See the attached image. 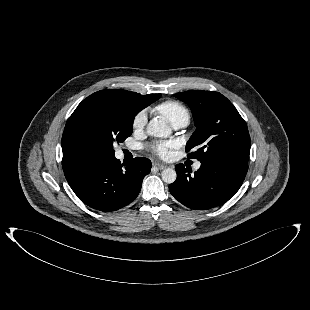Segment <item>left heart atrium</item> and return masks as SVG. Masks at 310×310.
Listing matches in <instances>:
<instances>
[{
    "mask_svg": "<svg viewBox=\"0 0 310 310\" xmlns=\"http://www.w3.org/2000/svg\"><path fill=\"white\" fill-rule=\"evenodd\" d=\"M176 144L172 141L155 142L151 145V150L160 158L167 159L173 154Z\"/></svg>",
    "mask_w": 310,
    "mask_h": 310,
    "instance_id": "left-heart-atrium-1",
    "label": "left heart atrium"
}]
</instances>
